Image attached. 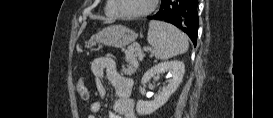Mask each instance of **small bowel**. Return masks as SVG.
Returning <instances> with one entry per match:
<instances>
[{
	"label": "small bowel",
	"instance_id": "c3829d8e",
	"mask_svg": "<svg viewBox=\"0 0 273 118\" xmlns=\"http://www.w3.org/2000/svg\"><path fill=\"white\" fill-rule=\"evenodd\" d=\"M95 76L96 89L101 97H105L107 90L104 81H108L114 88L116 100L113 111L109 112V118H136L134 100L132 98L133 80L120 73L116 61L112 58L95 59L91 65ZM88 93L83 99L87 100ZM101 110L99 101L90 104L88 118H95Z\"/></svg>",
	"mask_w": 273,
	"mask_h": 118
}]
</instances>
